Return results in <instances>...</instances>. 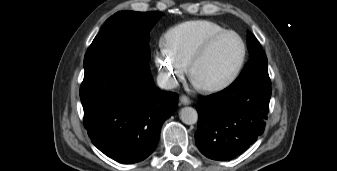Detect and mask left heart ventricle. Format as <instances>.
I'll list each match as a JSON object with an SVG mask.
<instances>
[{
	"mask_svg": "<svg viewBox=\"0 0 337 171\" xmlns=\"http://www.w3.org/2000/svg\"><path fill=\"white\" fill-rule=\"evenodd\" d=\"M241 52V44L235 36L220 39L195 67V82L209 85L224 80L238 63Z\"/></svg>",
	"mask_w": 337,
	"mask_h": 171,
	"instance_id": "left-heart-ventricle-1",
	"label": "left heart ventricle"
}]
</instances>
